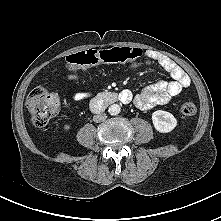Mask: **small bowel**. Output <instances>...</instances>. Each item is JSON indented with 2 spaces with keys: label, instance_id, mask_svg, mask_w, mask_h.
I'll list each match as a JSON object with an SVG mask.
<instances>
[{
  "label": "small bowel",
  "instance_id": "small-bowel-1",
  "mask_svg": "<svg viewBox=\"0 0 221 221\" xmlns=\"http://www.w3.org/2000/svg\"><path fill=\"white\" fill-rule=\"evenodd\" d=\"M146 59L143 61H135L129 64V70H135L144 65H150L152 62H156L162 67L172 78L170 81H161L153 85H150L142 89L138 94L132 96L130 91H123L122 94L130 95V101L132 100L134 105L142 110L151 109L157 105H162L170 101L174 96H177L182 90L190 86V78L169 57L154 51H149L145 54ZM71 80H77V75H71ZM92 98V94L88 92H76L73 95V99L77 102L86 101Z\"/></svg>",
  "mask_w": 221,
  "mask_h": 221
}]
</instances>
